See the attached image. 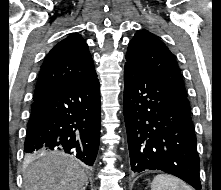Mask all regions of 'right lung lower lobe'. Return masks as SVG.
Returning <instances> with one entry per match:
<instances>
[{"label": "right lung lower lobe", "instance_id": "1", "mask_svg": "<svg viewBox=\"0 0 221 190\" xmlns=\"http://www.w3.org/2000/svg\"><path fill=\"white\" fill-rule=\"evenodd\" d=\"M100 141V87L97 74L35 98L24 150L60 151L93 165Z\"/></svg>", "mask_w": 221, "mask_h": 190}]
</instances>
